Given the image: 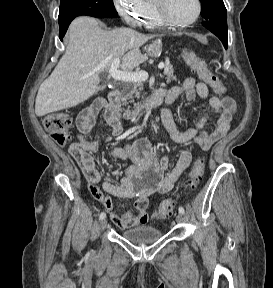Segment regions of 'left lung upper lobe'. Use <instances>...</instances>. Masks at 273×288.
I'll return each mask as SVG.
<instances>
[{
	"instance_id": "left-lung-upper-lobe-1",
	"label": "left lung upper lobe",
	"mask_w": 273,
	"mask_h": 288,
	"mask_svg": "<svg viewBox=\"0 0 273 288\" xmlns=\"http://www.w3.org/2000/svg\"><path fill=\"white\" fill-rule=\"evenodd\" d=\"M202 3L201 15L206 25L227 21V10L223 0H200Z\"/></svg>"
}]
</instances>
